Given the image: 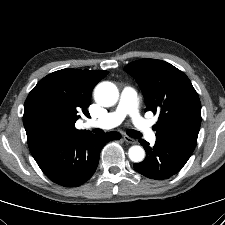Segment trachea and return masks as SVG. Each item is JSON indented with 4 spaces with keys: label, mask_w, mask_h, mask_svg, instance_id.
Returning a JSON list of instances; mask_svg holds the SVG:
<instances>
[{
    "label": "trachea",
    "mask_w": 225,
    "mask_h": 225,
    "mask_svg": "<svg viewBox=\"0 0 225 225\" xmlns=\"http://www.w3.org/2000/svg\"><path fill=\"white\" fill-rule=\"evenodd\" d=\"M128 136L132 137V138H140L141 134L140 132L136 131V130H128L127 131Z\"/></svg>",
    "instance_id": "trachea-1"
}]
</instances>
